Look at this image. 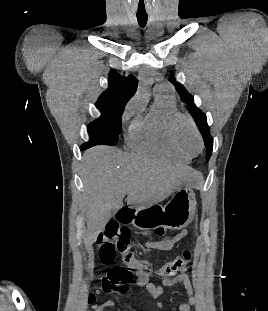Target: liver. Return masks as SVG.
Returning <instances> with one entry per match:
<instances>
[{"label":"liver","mask_w":268,"mask_h":311,"mask_svg":"<svg viewBox=\"0 0 268 311\" xmlns=\"http://www.w3.org/2000/svg\"><path fill=\"white\" fill-rule=\"evenodd\" d=\"M81 178L87 231L92 244L105 224L123 205L150 206L173 194L184 183L196 180L198 172L183 165L97 146L83 154Z\"/></svg>","instance_id":"6515ba94"}]
</instances>
